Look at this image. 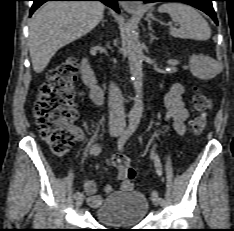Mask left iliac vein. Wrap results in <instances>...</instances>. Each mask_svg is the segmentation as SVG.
I'll return each mask as SVG.
<instances>
[{
	"instance_id": "obj_1",
	"label": "left iliac vein",
	"mask_w": 234,
	"mask_h": 231,
	"mask_svg": "<svg viewBox=\"0 0 234 231\" xmlns=\"http://www.w3.org/2000/svg\"><path fill=\"white\" fill-rule=\"evenodd\" d=\"M151 199H152V202L154 203V205L158 206L160 204L159 200H158V194L156 191H153V193L151 195Z\"/></svg>"
}]
</instances>
